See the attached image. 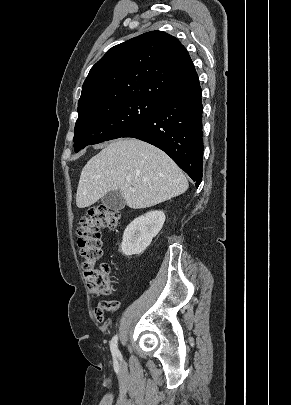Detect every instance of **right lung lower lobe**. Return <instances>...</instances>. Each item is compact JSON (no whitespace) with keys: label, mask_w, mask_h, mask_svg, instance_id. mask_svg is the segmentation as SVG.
I'll return each instance as SVG.
<instances>
[{"label":"right lung lower lobe","mask_w":291,"mask_h":405,"mask_svg":"<svg viewBox=\"0 0 291 405\" xmlns=\"http://www.w3.org/2000/svg\"><path fill=\"white\" fill-rule=\"evenodd\" d=\"M202 89L199 79L169 92L152 115L123 137L148 142L166 152L195 181H202Z\"/></svg>","instance_id":"right-lung-lower-lobe-1"}]
</instances>
